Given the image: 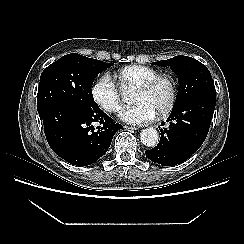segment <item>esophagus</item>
<instances>
[{
    "mask_svg": "<svg viewBox=\"0 0 244 244\" xmlns=\"http://www.w3.org/2000/svg\"><path fill=\"white\" fill-rule=\"evenodd\" d=\"M126 129H130V130H137L138 127H135V126H128V125H125L124 126Z\"/></svg>",
    "mask_w": 244,
    "mask_h": 244,
    "instance_id": "obj_1",
    "label": "esophagus"
}]
</instances>
